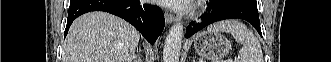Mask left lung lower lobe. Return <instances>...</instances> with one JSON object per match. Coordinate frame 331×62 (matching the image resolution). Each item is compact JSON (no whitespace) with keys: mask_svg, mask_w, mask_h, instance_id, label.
<instances>
[{"mask_svg":"<svg viewBox=\"0 0 331 62\" xmlns=\"http://www.w3.org/2000/svg\"><path fill=\"white\" fill-rule=\"evenodd\" d=\"M209 9L211 12L203 15L199 23L187 27L186 38L214 22L230 18L246 20L262 35L256 0H210Z\"/></svg>","mask_w":331,"mask_h":62,"instance_id":"obj_1","label":"left lung lower lobe"}]
</instances>
